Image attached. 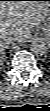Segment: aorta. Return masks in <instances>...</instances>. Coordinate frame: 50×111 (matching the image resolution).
<instances>
[{
  "label": "aorta",
  "instance_id": "762f6f07",
  "mask_svg": "<svg viewBox=\"0 0 50 111\" xmlns=\"http://www.w3.org/2000/svg\"><path fill=\"white\" fill-rule=\"evenodd\" d=\"M30 49L35 54H44L46 50V45L43 41L34 39L30 44Z\"/></svg>",
  "mask_w": 50,
  "mask_h": 111
}]
</instances>
